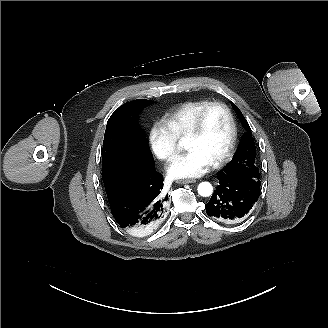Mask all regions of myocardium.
<instances>
[{
    "label": "myocardium",
    "instance_id": "f54148a6",
    "mask_svg": "<svg viewBox=\"0 0 328 328\" xmlns=\"http://www.w3.org/2000/svg\"><path fill=\"white\" fill-rule=\"evenodd\" d=\"M214 108H221L227 113L232 127V136L227 150L218 160L212 163V167L218 168L224 165L225 163H227L232 158L238 143L237 121L232 108L228 104L220 101H214V102H210L207 106H205L197 114L193 124L191 125V127L189 128V130L187 131L184 137V141L190 138H194L200 133L208 113Z\"/></svg>",
    "mask_w": 328,
    "mask_h": 328
}]
</instances>
